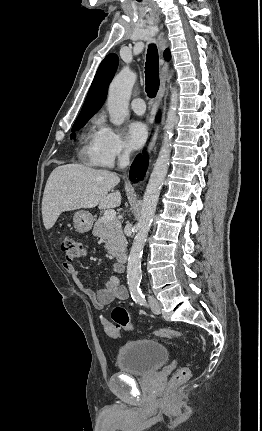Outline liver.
Instances as JSON below:
<instances>
[{"mask_svg": "<svg viewBox=\"0 0 262 431\" xmlns=\"http://www.w3.org/2000/svg\"><path fill=\"white\" fill-rule=\"evenodd\" d=\"M119 182V176L107 170H95L80 164L56 167L47 180L42 199L45 229H51L65 211L120 206V192L109 193Z\"/></svg>", "mask_w": 262, "mask_h": 431, "instance_id": "1", "label": "liver"}]
</instances>
